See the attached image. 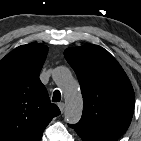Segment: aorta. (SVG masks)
I'll list each match as a JSON object with an SVG mask.
<instances>
[{
  "label": "aorta",
  "mask_w": 141,
  "mask_h": 141,
  "mask_svg": "<svg viewBox=\"0 0 141 141\" xmlns=\"http://www.w3.org/2000/svg\"><path fill=\"white\" fill-rule=\"evenodd\" d=\"M52 77L63 91L66 122L69 124L78 123L82 116L83 100L77 82L72 77L70 70L64 66L56 67Z\"/></svg>",
  "instance_id": "obj_1"
}]
</instances>
